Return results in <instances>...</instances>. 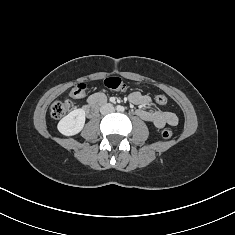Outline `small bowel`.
Masks as SVG:
<instances>
[{
  "label": "small bowel",
  "mask_w": 235,
  "mask_h": 235,
  "mask_svg": "<svg viewBox=\"0 0 235 235\" xmlns=\"http://www.w3.org/2000/svg\"><path fill=\"white\" fill-rule=\"evenodd\" d=\"M130 101L140 106L136 114L145 121H150L157 128H163L165 125L176 126L178 124V117L175 113L169 111H151L147 109L151 104L149 96L141 94L140 92H133L129 96ZM106 101V96L103 93H94L87 99V103H103Z\"/></svg>",
  "instance_id": "small-bowel-1"
}]
</instances>
